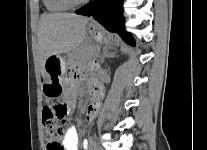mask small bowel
<instances>
[{
  "instance_id": "1",
  "label": "small bowel",
  "mask_w": 207,
  "mask_h": 150,
  "mask_svg": "<svg viewBox=\"0 0 207 150\" xmlns=\"http://www.w3.org/2000/svg\"><path fill=\"white\" fill-rule=\"evenodd\" d=\"M78 94V82L71 80L69 84V91L67 93V106L68 109H74L76 106V98ZM99 96V93H98ZM98 98V97H97ZM98 108V101L96 100L88 108V120H91ZM62 145L64 150H78L79 136L75 127H68L62 137ZM82 150H91V140H81Z\"/></svg>"
}]
</instances>
